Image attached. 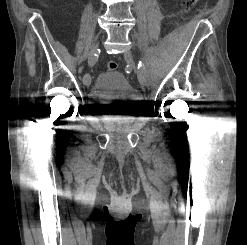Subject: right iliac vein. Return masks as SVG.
Segmentation results:
<instances>
[{
  "label": "right iliac vein",
  "instance_id": "right-iliac-vein-1",
  "mask_svg": "<svg viewBox=\"0 0 247 245\" xmlns=\"http://www.w3.org/2000/svg\"><path fill=\"white\" fill-rule=\"evenodd\" d=\"M98 46H99V43L96 42V43L93 45L92 49H91L90 55H89V57H88V64H89V66H93L94 64L97 63V60H98L97 57H93V56H94V54L97 53ZM83 83H84L86 86L90 85V83H91V76H90L89 74H85V75H84V77H83Z\"/></svg>",
  "mask_w": 247,
  "mask_h": 245
}]
</instances>
